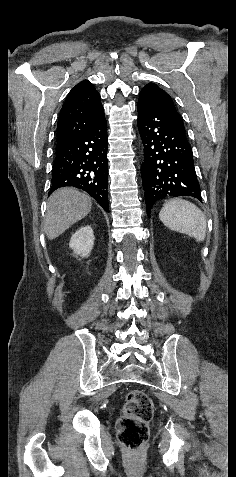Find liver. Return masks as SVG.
I'll return each instance as SVG.
<instances>
[{
	"instance_id": "1",
	"label": "liver",
	"mask_w": 236,
	"mask_h": 477,
	"mask_svg": "<svg viewBox=\"0 0 236 477\" xmlns=\"http://www.w3.org/2000/svg\"><path fill=\"white\" fill-rule=\"evenodd\" d=\"M89 195L74 188H61L51 194L45 214V234L53 240L91 211Z\"/></svg>"
}]
</instances>
